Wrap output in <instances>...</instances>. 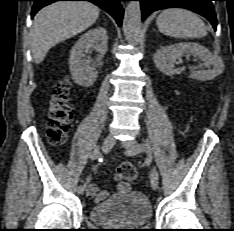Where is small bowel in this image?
<instances>
[{
	"label": "small bowel",
	"instance_id": "obj_1",
	"mask_svg": "<svg viewBox=\"0 0 234 231\" xmlns=\"http://www.w3.org/2000/svg\"><path fill=\"white\" fill-rule=\"evenodd\" d=\"M117 190L120 193H128L131 190V184L127 181L119 182ZM87 192L89 197H91L96 202L102 201L107 195L105 192H99L98 187L94 184L88 185Z\"/></svg>",
	"mask_w": 234,
	"mask_h": 231
}]
</instances>
